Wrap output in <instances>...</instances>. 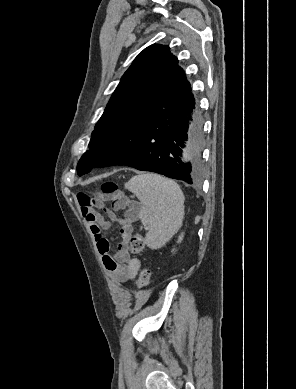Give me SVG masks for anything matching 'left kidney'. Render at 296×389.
Returning <instances> with one entry per match:
<instances>
[{"instance_id":"obj_1","label":"left kidney","mask_w":296,"mask_h":389,"mask_svg":"<svg viewBox=\"0 0 296 389\" xmlns=\"http://www.w3.org/2000/svg\"><path fill=\"white\" fill-rule=\"evenodd\" d=\"M182 240H183V233L179 236L178 243H180ZM173 251H174V249H173Z\"/></svg>"}]
</instances>
